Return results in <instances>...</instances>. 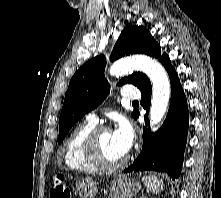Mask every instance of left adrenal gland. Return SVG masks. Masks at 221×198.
I'll use <instances>...</instances> for the list:
<instances>
[{
	"label": "left adrenal gland",
	"instance_id": "left-adrenal-gland-1",
	"mask_svg": "<svg viewBox=\"0 0 221 198\" xmlns=\"http://www.w3.org/2000/svg\"><path fill=\"white\" fill-rule=\"evenodd\" d=\"M140 198H146L145 196H141Z\"/></svg>",
	"mask_w": 221,
	"mask_h": 198
}]
</instances>
